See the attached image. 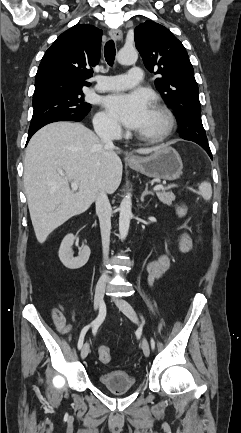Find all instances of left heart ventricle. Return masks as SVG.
<instances>
[{"label": "left heart ventricle", "instance_id": "obj_1", "mask_svg": "<svg viewBox=\"0 0 241 433\" xmlns=\"http://www.w3.org/2000/svg\"><path fill=\"white\" fill-rule=\"evenodd\" d=\"M165 126V119L164 117L156 112L155 110L151 109L149 117L145 125L142 129H140V132H147V133H157L161 131Z\"/></svg>", "mask_w": 241, "mask_h": 433}]
</instances>
